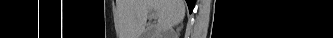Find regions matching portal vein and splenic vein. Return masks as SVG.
<instances>
[{"label":"portal vein and splenic vein","mask_w":333,"mask_h":38,"mask_svg":"<svg viewBox=\"0 0 333 38\" xmlns=\"http://www.w3.org/2000/svg\"><path fill=\"white\" fill-rule=\"evenodd\" d=\"M152 18H157V14L155 12L152 13Z\"/></svg>","instance_id":"18ae733b"}]
</instances>
